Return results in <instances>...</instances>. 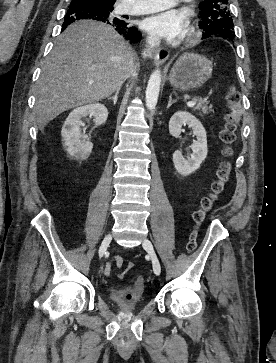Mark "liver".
Returning <instances> with one entry per match:
<instances>
[{
	"instance_id": "liver-1",
	"label": "liver",
	"mask_w": 276,
	"mask_h": 363,
	"mask_svg": "<svg viewBox=\"0 0 276 363\" xmlns=\"http://www.w3.org/2000/svg\"><path fill=\"white\" fill-rule=\"evenodd\" d=\"M134 57L113 27L92 20L71 24L42 66L34 107L38 126L112 95L132 74Z\"/></svg>"
}]
</instances>
